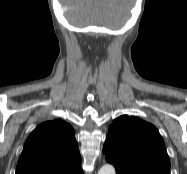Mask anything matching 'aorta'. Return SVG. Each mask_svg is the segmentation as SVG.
Masks as SVG:
<instances>
[{
    "label": "aorta",
    "mask_w": 187,
    "mask_h": 174,
    "mask_svg": "<svg viewBox=\"0 0 187 174\" xmlns=\"http://www.w3.org/2000/svg\"><path fill=\"white\" fill-rule=\"evenodd\" d=\"M98 174H116V172L112 165L107 164L101 167Z\"/></svg>",
    "instance_id": "aorta-1"
}]
</instances>
